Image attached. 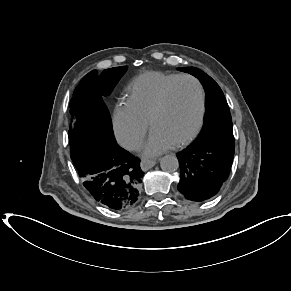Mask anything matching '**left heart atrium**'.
<instances>
[{"mask_svg": "<svg viewBox=\"0 0 291 291\" xmlns=\"http://www.w3.org/2000/svg\"><path fill=\"white\" fill-rule=\"evenodd\" d=\"M174 145L175 144L171 140L157 131L152 130L147 142L143 146V156L155 157L172 149Z\"/></svg>", "mask_w": 291, "mask_h": 291, "instance_id": "left-heart-atrium-1", "label": "left heart atrium"}]
</instances>
